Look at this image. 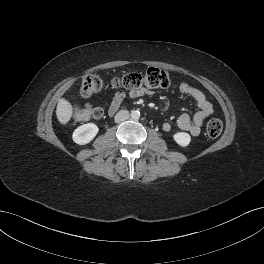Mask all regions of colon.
I'll return each instance as SVG.
<instances>
[{
	"label": "colon",
	"instance_id": "5ec220e1",
	"mask_svg": "<svg viewBox=\"0 0 264 264\" xmlns=\"http://www.w3.org/2000/svg\"><path fill=\"white\" fill-rule=\"evenodd\" d=\"M110 85L113 88H126L129 90L167 88L171 85L168 73L162 69L149 68L145 73H128L121 77H113L109 81L97 76L87 75L82 80L81 94L83 97H91ZM102 109L98 107L75 108L73 119L76 121L89 118H100ZM223 130L221 120L210 119L206 125V133L210 138H217Z\"/></svg>",
	"mask_w": 264,
	"mask_h": 264
}]
</instances>
